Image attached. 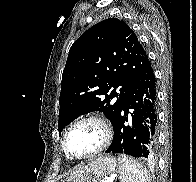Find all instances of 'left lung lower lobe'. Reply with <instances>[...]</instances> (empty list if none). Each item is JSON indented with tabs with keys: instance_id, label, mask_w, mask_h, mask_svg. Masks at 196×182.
Returning a JSON list of instances; mask_svg holds the SVG:
<instances>
[{
	"instance_id": "obj_1",
	"label": "left lung lower lobe",
	"mask_w": 196,
	"mask_h": 182,
	"mask_svg": "<svg viewBox=\"0 0 196 182\" xmlns=\"http://www.w3.org/2000/svg\"><path fill=\"white\" fill-rule=\"evenodd\" d=\"M149 63L126 95L116 122L114 137L106 153H124L153 159L157 147V88Z\"/></svg>"
}]
</instances>
